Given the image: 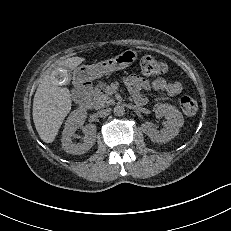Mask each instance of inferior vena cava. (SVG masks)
<instances>
[{
  "label": "inferior vena cava",
  "mask_w": 231,
  "mask_h": 231,
  "mask_svg": "<svg viewBox=\"0 0 231 231\" xmlns=\"http://www.w3.org/2000/svg\"><path fill=\"white\" fill-rule=\"evenodd\" d=\"M110 111H111L110 109H102L97 112V115L99 117H106L109 115Z\"/></svg>",
  "instance_id": "obj_1"
}]
</instances>
